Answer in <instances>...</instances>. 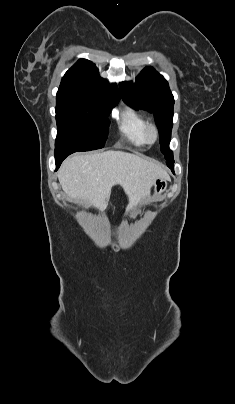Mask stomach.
<instances>
[{"label": "stomach", "instance_id": "obj_1", "mask_svg": "<svg viewBox=\"0 0 235 404\" xmlns=\"http://www.w3.org/2000/svg\"><path fill=\"white\" fill-rule=\"evenodd\" d=\"M154 197H160L167 189V180L156 179L154 181Z\"/></svg>", "mask_w": 235, "mask_h": 404}]
</instances>
